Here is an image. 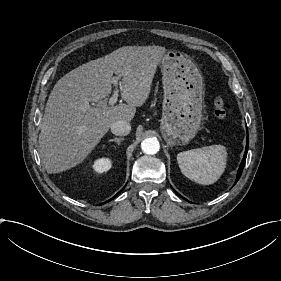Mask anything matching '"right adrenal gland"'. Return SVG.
<instances>
[{
    "instance_id": "2a0ac1e0",
    "label": "right adrenal gland",
    "mask_w": 281,
    "mask_h": 281,
    "mask_svg": "<svg viewBox=\"0 0 281 281\" xmlns=\"http://www.w3.org/2000/svg\"><path fill=\"white\" fill-rule=\"evenodd\" d=\"M124 140V138H121V137H115V138H111V139H109V141H111V142H113V141H115V142H117L119 145L121 144V142Z\"/></svg>"
}]
</instances>
